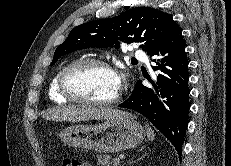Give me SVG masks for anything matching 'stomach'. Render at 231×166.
I'll return each mask as SVG.
<instances>
[{"label": "stomach", "instance_id": "obj_1", "mask_svg": "<svg viewBox=\"0 0 231 166\" xmlns=\"http://www.w3.org/2000/svg\"><path fill=\"white\" fill-rule=\"evenodd\" d=\"M58 135L66 145L112 153L136 147L144 140L145 130L129 113L95 125H73Z\"/></svg>", "mask_w": 231, "mask_h": 166}]
</instances>
